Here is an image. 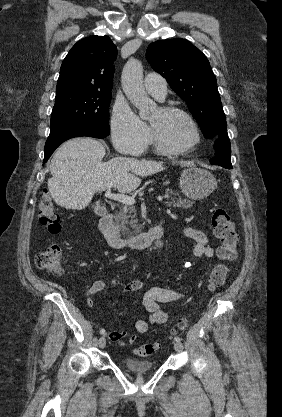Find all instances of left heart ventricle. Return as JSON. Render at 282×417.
I'll return each instance as SVG.
<instances>
[{"label": "left heart ventricle", "mask_w": 282, "mask_h": 417, "mask_svg": "<svg viewBox=\"0 0 282 417\" xmlns=\"http://www.w3.org/2000/svg\"><path fill=\"white\" fill-rule=\"evenodd\" d=\"M148 120L168 145L181 146L189 143L192 139V132L188 124L178 115H166L157 109Z\"/></svg>", "instance_id": "left-heart-ventricle-1"}]
</instances>
